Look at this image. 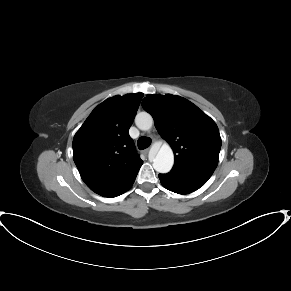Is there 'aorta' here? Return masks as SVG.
I'll use <instances>...</instances> for the list:
<instances>
[{"instance_id":"obj_1","label":"aorta","mask_w":291,"mask_h":291,"mask_svg":"<svg viewBox=\"0 0 291 291\" xmlns=\"http://www.w3.org/2000/svg\"><path fill=\"white\" fill-rule=\"evenodd\" d=\"M153 118L147 112H139L135 117L136 126L142 131H148L153 126ZM174 164V154L168 144H163L155 158L153 167L159 173H168Z\"/></svg>"}]
</instances>
